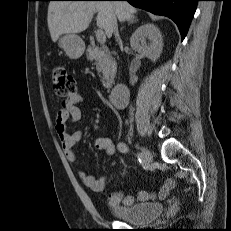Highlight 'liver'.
Masks as SVG:
<instances>
[{
  "label": "liver",
  "mask_w": 231,
  "mask_h": 231,
  "mask_svg": "<svg viewBox=\"0 0 231 231\" xmlns=\"http://www.w3.org/2000/svg\"><path fill=\"white\" fill-rule=\"evenodd\" d=\"M97 13V26L104 29L108 38L112 36V19L120 22L133 19L136 8L126 1H51L47 22L52 41L62 34H76L86 30Z\"/></svg>",
  "instance_id": "6515ba94"
}]
</instances>
